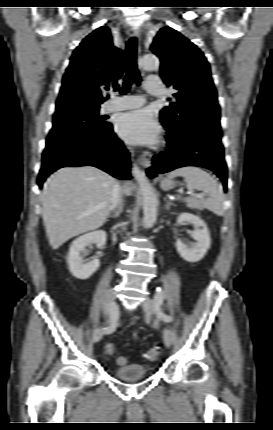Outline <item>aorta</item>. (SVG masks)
<instances>
[{"label":"aorta","instance_id":"aorta-1","mask_svg":"<svg viewBox=\"0 0 273 430\" xmlns=\"http://www.w3.org/2000/svg\"><path fill=\"white\" fill-rule=\"evenodd\" d=\"M141 67L147 71L157 70L159 60L155 54L145 55L141 58ZM132 175L138 181L141 188L143 199L144 218L143 224L145 228H151L157 220L158 200L152 186L149 184L145 174L139 169L136 164H132Z\"/></svg>","mask_w":273,"mask_h":430}]
</instances>
